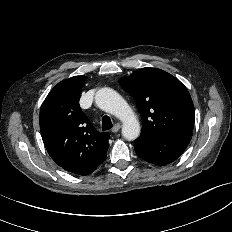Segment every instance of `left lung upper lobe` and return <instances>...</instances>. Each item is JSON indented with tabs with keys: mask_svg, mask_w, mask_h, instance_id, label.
Listing matches in <instances>:
<instances>
[{
	"mask_svg": "<svg viewBox=\"0 0 232 232\" xmlns=\"http://www.w3.org/2000/svg\"><path fill=\"white\" fill-rule=\"evenodd\" d=\"M142 116L140 137L192 138L194 105L187 88L171 74L142 68L119 80Z\"/></svg>",
	"mask_w": 232,
	"mask_h": 232,
	"instance_id": "5c2ea615",
	"label": "left lung upper lobe"
}]
</instances>
